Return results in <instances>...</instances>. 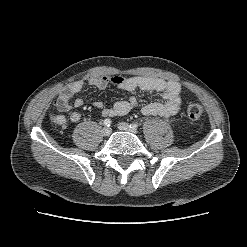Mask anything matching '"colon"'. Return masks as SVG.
<instances>
[{"label":"colon","instance_id":"colon-1","mask_svg":"<svg viewBox=\"0 0 247 247\" xmlns=\"http://www.w3.org/2000/svg\"><path fill=\"white\" fill-rule=\"evenodd\" d=\"M204 114V109L197 103H191L187 107V116L190 120L197 121Z\"/></svg>","mask_w":247,"mask_h":247}]
</instances>
